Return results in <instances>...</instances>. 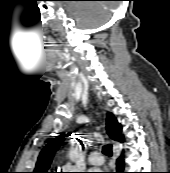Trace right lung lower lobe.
<instances>
[{"label": "right lung lower lobe", "mask_w": 170, "mask_h": 173, "mask_svg": "<svg viewBox=\"0 0 170 173\" xmlns=\"http://www.w3.org/2000/svg\"><path fill=\"white\" fill-rule=\"evenodd\" d=\"M123 169H124V160L121 157L116 162V172L115 173H125V172H123Z\"/></svg>", "instance_id": "right-lung-lower-lobe-1"}]
</instances>
